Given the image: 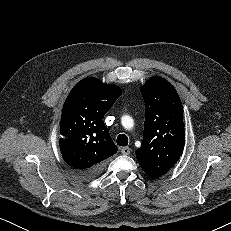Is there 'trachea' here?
Masks as SVG:
<instances>
[{"label": "trachea", "instance_id": "trachea-1", "mask_svg": "<svg viewBox=\"0 0 231 231\" xmlns=\"http://www.w3.org/2000/svg\"><path fill=\"white\" fill-rule=\"evenodd\" d=\"M117 144L119 146H127L128 145V137L125 134H120L117 137Z\"/></svg>", "mask_w": 231, "mask_h": 231}]
</instances>
